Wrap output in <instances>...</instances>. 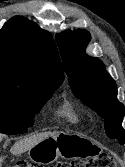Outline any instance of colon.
Returning <instances> with one entry per match:
<instances>
[{"instance_id":"obj_1","label":"colon","mask_w":125,"mask_h":167,"mask_svg":"<svg viewBox=\"0 0 125 167\" xmlns=\"http://www.w3.org/2000/svg\"><path fill=\"white\" fill-rule=\"evenodd\" d=\"M10 167H39V166L31 165L25 160H18ZM47 167H116V161L114 157L111 156L110 154L103 153L88 159L58 162L55 165H49Z\"/></svg>"}]
</instances>
